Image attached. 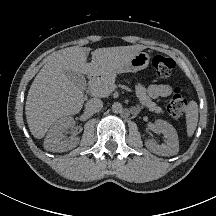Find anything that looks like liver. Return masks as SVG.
Returning a JSON list of instances; mask_svg holds the SVG:
<instances>
[{
  "label": "liver",
  "instance_id": "6515ba94",
  "mask_svg": "<svg viewBox=\"0 0 216 216\" xmlns=\"http://www.w3.org/2000/svg\"><path fill=\"white\" fill-rule=\"evenodd\" d=\"M145 48L143 45L98 48L92 52L90 63H87L89 47H68L49 56L26 100L25 114L31 134L41 139L59 118L81 111L84 103L81 85L70 81L65 71L81 75L110 73Z\"/></svg>",
  "mask_w": 216,
  "mask_h": 216
}]
</instances>
